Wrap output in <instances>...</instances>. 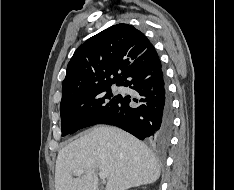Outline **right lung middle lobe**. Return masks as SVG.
Here are the masks:
<instances>
[{
    "instance_id": "1",
    "label": "right lung middle lobe",
    "mask_w": 234,
    "mask_h": 190,
    "mask_svg": "<svg viewBox=\"0 0 234 190\" xmlns=\"http://www.w3.org/2000/svg\"><path fill=\"white\" fill-rule=\"evenodd\" d=\"M120 95L111 92V85L85 92L60 105L62 136L98 124L116 107Z\"/></svg>"
}]
</instances>
